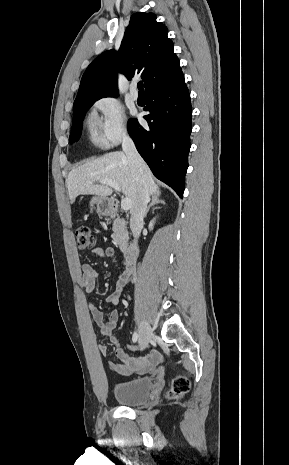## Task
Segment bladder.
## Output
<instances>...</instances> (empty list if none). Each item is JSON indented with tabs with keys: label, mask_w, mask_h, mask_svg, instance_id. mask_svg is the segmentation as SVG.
Returning <instances> with one entry per match:
<instances>
[{
	"label": "bladder",
	"mask_w": 289,
	"mask_h": 465,
	"mask_svg": "<svg viewBox=\"0 0 289 465\" xmlns=\"http://www.w3.org/2000/svg\"><path fill=\"white\" fill-rule=\"evenodd\" d=\"M153 388V380L150 377H140L117 383L113 393L115 399L126 406H136L145 403Z\"/></svg>",
	"instance_id": "obj_1"
}]
</instances>
